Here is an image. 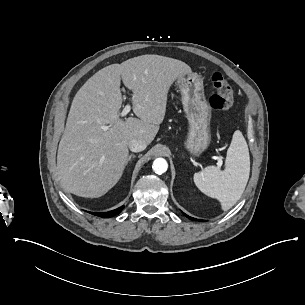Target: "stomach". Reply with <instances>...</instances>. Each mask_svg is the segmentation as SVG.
<instances>
[{
	"instance_id": "stomach-1",
	"label": "stomach",
	"mask_w": 305,
	"mask_h": 305,
	"mask_svg": "<svg viewBox=\"0 0 305 305\" xmlns=\"http://www.w3.org/2000/svg\"><path fill=\"white\" fill-rule=\"evenodd\" d=\"M184 113L187 117V134L182 147L192 158H200L212 140L210 122L212 107L204 94L203 80L193 73L178 79Z\"/></svg>"
}]
</instances>
